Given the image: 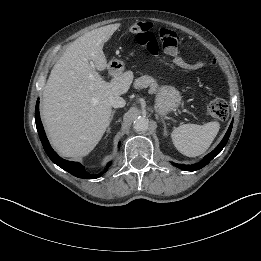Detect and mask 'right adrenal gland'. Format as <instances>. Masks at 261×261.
Instances as JSON below:
<instances>
[{"instance_id": "2a0ac1e0", "label": "right adrenal gland", "mask_w": 261, "mask_h": 261, "mask_svg": "<svg viewBox=\"0 0 261 261\" xmlns=\"http://www.w3.org/2000/svg\"><path fill=\"white\" fill-rule=\"evenodd\" d=\"M115 112H116L115 110L112 111V114H111V120L113 119V116H114ZM110 129H111V128L108 127V129H107V133H110Z\"/></svg>"}]
</instances>
